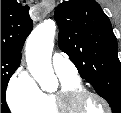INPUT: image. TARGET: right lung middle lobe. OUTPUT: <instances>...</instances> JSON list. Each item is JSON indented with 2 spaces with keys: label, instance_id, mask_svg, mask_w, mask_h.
<instances>
[{
  "label": "right lung middle lobe",
  "instance_id": "dd1d6c3e",
  "mask_svg": "<svg viewBox=\"0 0 121 113\" xmlns=\"http://www.w3.org/2000/svg\"><path fill=\"white\" fill-rule=\"evenodd\" d=\"M19 65L20 59L1 55V113H10L5 101V91L10 77Z\"/></svg>",
  "mask_w": 121,
  "mask_h": 113
}]
</instances>
